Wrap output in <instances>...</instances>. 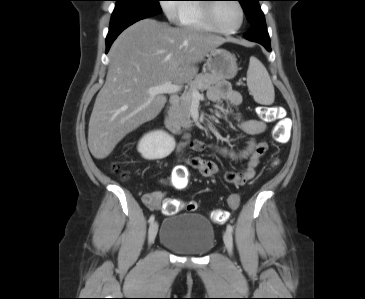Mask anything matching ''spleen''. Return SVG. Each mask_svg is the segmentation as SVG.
Returning <instances> with one entry per match:
<instances>
[{"mask_svg": "<svg viewBox=\"0 0 365 299\" xmlns=\"http://www.w3.org/2000/svg\"><path fill=\"white\" fill-rule=\"evenodd\" d=\"M247 86L254 100L263 105L274 102V86L264 65L254 56L250 57Z\"/></svg>", "mask_w": 365, "mask_h": 299, "instance_id": "1", "label": "spleen"}]
</instances>
